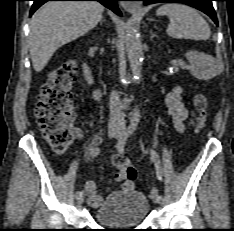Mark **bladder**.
I'll return each mask as SVG.
<instances>
[{"instance_id":"obj_1","label":"bladder","mask_w":234,"mask_h":231,"mask_svg":"<svg viewBox=\"0 0 234 231\" xmlns=\"http://www.w3.org/2000/svg\"><path fill=\"white\" fill-rule=\"evenodd\" d=\"M147 197L138 191L109 195L94 211L98 223L113 226L141 224L149 214Z\"/></svg>"}]
</instances>
